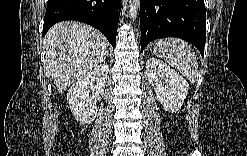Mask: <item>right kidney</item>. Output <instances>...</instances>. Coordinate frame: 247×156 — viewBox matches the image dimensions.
Returning a JSON list of instances; mask_svg holds the SVG:
<instances>
[{"mask_svg": "<svg viewBox=\"0 0 247 156\" xmlns=\"http://www.w3.org/2000/svg\"><path fill=\"white\" fill-rule=\"evenodd\" d=\"M109 67L96 65L85 75L75 80L68 90L67 100L75 119L81 124H91L96 115V103L103 94Z\"/></svg>", "mask_w": 247, "mask_h": 156, "instance_id": "right-kidney-1", "label": "right kidney"}]
</instances>
